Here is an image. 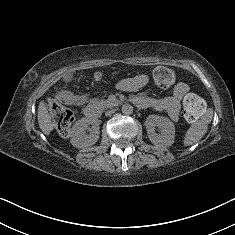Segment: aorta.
Listing matches in <instances>:
<instances>
[{
    "label": "aorta",
    "mask_w": 235,
    "mask_h": 235,
    "mask_svg": "<svg viewBox=\"0 0 235 235\" xmlns=\"http://www.w3.org/2000/svg\"><path fill=\"white\" fill-rule=\"evenodd\" d=\"M121 111L124 115H131L133 113V106L130 104H124Z\"/></svg>",
    "instance_id": "aorta-1"
}]
</instances>
